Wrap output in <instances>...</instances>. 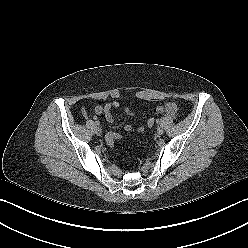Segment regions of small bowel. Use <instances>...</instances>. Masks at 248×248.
Returning <instances> with one entry per match:
<instances>
[{"instance_id":"c3829d8e","label":"small bowel","mask_w":248,"mask_h":248,"mask_svg":"<svg viewBox=\"0 0 248 248\" xmlns=\"http://www.w3.org/2000/svg\"><path fill=\"white\" fill-rule=\"evenodd\" d=\"M117 106H118L117 102H114L112 104L107 103L105 105H97L94 108V112H95L96 115L104 114L106 120L108 122H112L113 121L112 109L117 107ZM125 112L130 116H135L136 115V112L131 110V109H129V108H126ZM153 112L155 114H157V115H161V114H164V113L173 114V113L176 112V105L173 104V103H168V104H165V105H158V106H155L153 108ZM124 128H125L126 131H136V132H143L144 131L143 126L133 127L130 124H126Z\"/></svg>"}]
</instances>
